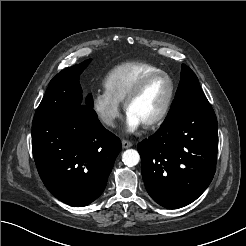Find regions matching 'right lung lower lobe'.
<instances>
[{"label":"right lung lower lobe","instance_id":"98d812e1","mask_svg":"<svg viewBox=\"0 0 246 246\" xmlns=\"http://www.w3.org/2000/svg\"><path fill=\"white\" fill-rule=\"evenodd\" d=\"M32 150L46 188L60 201L79 207L104 191L121 142L85 105L63 117L33 119Z\"/></svg>","mask_w":246,"mask_h":246}]
</instances>
